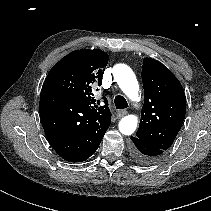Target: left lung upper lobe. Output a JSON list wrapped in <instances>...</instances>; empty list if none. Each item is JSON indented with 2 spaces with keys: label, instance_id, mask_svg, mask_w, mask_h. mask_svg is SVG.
<instances>
[{
  "label": "left lung upper lobe",
  "instance_id": "left-lung-upper-lobe-1",
  "mask_svg": "<svg viewBox=\"0 0 211 211\" xmlns=\"http://www.w3.org/2000/svg\"><path fill=\"white\" fill-rule=\"evenodd\" d=\"M141 76L145 100L135 137L166 151L176 138L185 117V93L172 72L155 59L143 60Z\"/></svg>",
  "mask_w": 211,
  "mask_h": 211
}]
</instances>
